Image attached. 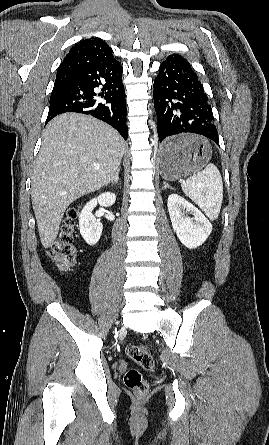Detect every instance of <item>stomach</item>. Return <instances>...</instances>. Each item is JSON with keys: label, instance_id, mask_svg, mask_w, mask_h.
Masks as SVG:
<instances>
[{"label": "stomach", "instance_id": "1", "mask_svg": "<svg viewBox=\"0 0 269 445\" xmlns=\"http://www.w3.org/2000/svg\"><path fill=\"white\" fill-rule=\"evenodd\" d=\"M181 145L175 155L166 156L162 148L159 153L160 174L167 181H175L201 170L210 160L212 149L210 144L195 135H182L170 138Z\"/></svg>", "mask_w": 269, "mask_h": 445}]
</instances>
